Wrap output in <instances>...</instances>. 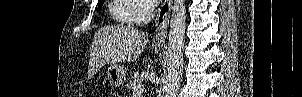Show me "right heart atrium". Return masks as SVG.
<instances>
[{"mask_svg":"<svg viewBox=\"0 0 302 97\" xmlns=\"http://www.w3.org/2000/svg\"><path fill=\"white\" fill-rule=\"evenodd\" d=\"M137 4L138 6L135 15V21L138 24H142L150 18L151 4L146 0H140Z\"/></svg>","mask_w":302,"mask_h":97,"instance_id":"1","label":"right heart atrium"}]
</instances>
